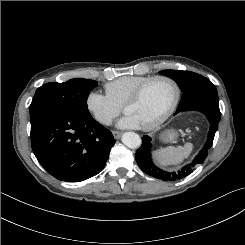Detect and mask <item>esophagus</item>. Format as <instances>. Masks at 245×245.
I'll use <instances>...</instances> for the list:
<instances>
[{"label": "esophagus", "instance_id": "34e87169", "mask_svg": "<svg viewBox=\"0 0 245 245\" xmlns=\"http://www.w3.org/2000/svg\"><path fill=\"white\" fill-rule=\"evenodd\" d=\"M112 134H113L115 139H119L122 135V133L120 131H112Z\"/></svg>", "mask_w": 245, "mask_h": 245}]
</instances>
